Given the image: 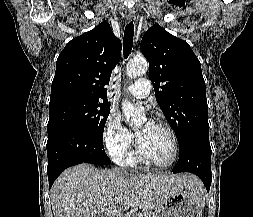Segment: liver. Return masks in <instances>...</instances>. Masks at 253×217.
<instances>
[{"mask_svg":"<svg viewBox=\"0 0 253 217\" xmlns=\"http://www.w3.org/2000/svg\"><path fill=\"white\" fill-rule=\"evenodd\" d=\"M180 191L201 198L204 186L192 174L133 175L79 164L57 178L50 197L54 217H123L137 207L156 212Z\"/></svg>","mask_w":253,"mask_h":217,"instance_id":"liver-1","label":"liver"}]
</instances>
